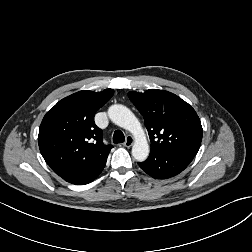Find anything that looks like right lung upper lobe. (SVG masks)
Returning a JSON list of instances; mask_svg holds the SVG:
<instances>
[{"instance_id":"obj_1","label":"right lung upper lobe","mask_w":252,"mask_h":252,"mask_svg":"<svg viewBox=\"0 0 252 252\" xmlns=\"http://www.w3.org/2000/svg\"><path fill=\"white\" fill-rule=\"evenodd\" d=\"M114 94L79 91L60 100L44 116L39 128L41 154L51 169L63 176L77 169L107 161L112 145L102 142L94 115Z\"/></svg>"}]
</instances>
